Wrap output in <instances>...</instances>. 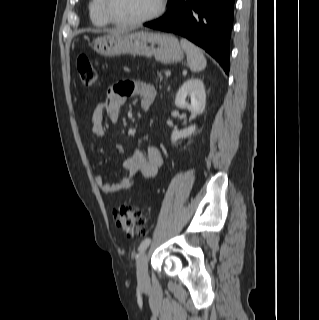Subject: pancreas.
<instances>
[{"label":"pancreas","mask_w":319,"mask_h":320,"mask_svg":"<svg viewBox=\"0 0 319 320\" xmlns=\"http://www.w3.org/2000/svg\"><path fill=\"white\" fill-rule=\"evenodd\" d=\"M159 81L161 82L163 80V74L161 72L157 73Z\"/></svg>","instance_id":"pancreas-1"}]
</instances>
